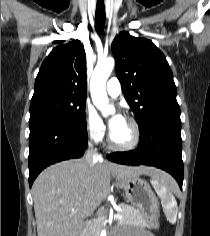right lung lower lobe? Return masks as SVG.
I'll return each instance as SVG.
<instances>
[{"instance_id": "right-lung-lower-lobe-1", "label": "right lung lower lobe", "mask_w": 210, "mask_h": 236, "mask_svg": "<svg viewBox=\"0 0 210 236\" xmlns=\"http://www.w3.org/2000/svg\"><path fill=\"white\" fill-rule=\"evenodd\" d=\"M86 148V129L61 123H45L30 128V187L44 168L62 160L79 158Z\"/></svg>"}]
</instances>
